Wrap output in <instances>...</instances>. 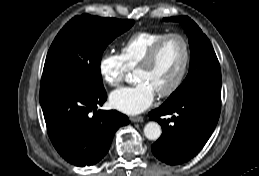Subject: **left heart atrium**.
Listing matches in <instances>:
<instances>
[{"label": "left heart atrium", "mask_w": 259, "mask_h": 176, "mask_svg": "<svg viewBox=\"0 0 259 176\" xmlns=\"http://www.w3.org/2000/svg\"><path fill=\"white\" fill-rule=\"evenodd\" d=\"M155 95L149 83L139 81L135 85L113 91L109 99L113 108L126 114H138L151 106Z\"/></svg>", "instance_id": "obj_1"}]
</instances>
